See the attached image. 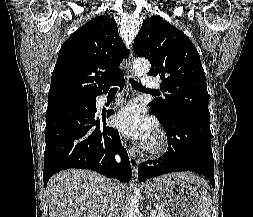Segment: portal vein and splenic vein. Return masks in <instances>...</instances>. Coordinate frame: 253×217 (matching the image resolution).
<instances>
[{
	"label": "portal vein and splenic vein",
	"mask_w": 253,
	"mask_h": 217,
	"mask_svg": "<svg viewBox=\"0 0 253 217\" xmlns=\"http://www.w3.org/2000/svg\"><path fill=\"white\" fill-rule=\"evenodd\" d=\"M157 214L161 215V212H159V209H153L150 212V217H156Z\"/></svg>",
	"instance_id": "portal-vein-and-splenic-vein-1"
}]
</instances>
